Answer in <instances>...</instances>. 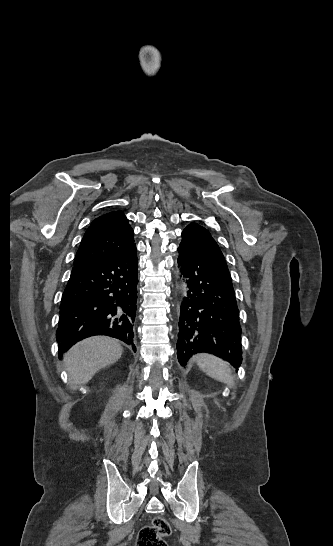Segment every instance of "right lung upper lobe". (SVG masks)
<instances>
[{"label": "right lung upper lobe", "mask_w": 333, "mask_h": 546, "mask_svg": "<svg viewBox=\"0 0 333 546\" xmlns=\"http://www.w3.org/2000/svg\"><path fill=\"white\" fill-rule=\"evenodd\" d=\"M134 232L122 211H112L96 218L82 238L74 265L107 261L134 245Z\"/></svg>", "instance_id": "cb5924a9"}]
</instances>
